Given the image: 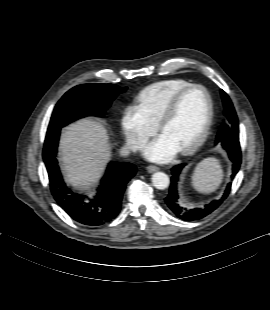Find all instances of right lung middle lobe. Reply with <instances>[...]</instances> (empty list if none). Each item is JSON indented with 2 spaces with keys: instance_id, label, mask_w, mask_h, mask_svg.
<instances>
[{
  "instance_id": "dd1d6c3e",
  "label": "right lung middle lobe",
  "mask_w": 270,
  "mask_h": 310,
  "mask_svg": "<svg viewBox=\"0 0 270 310\" xmlns=\"http://www.w3.org/2000/svg\"><path fill=\"white\" fill-rule=\"evenodd\" d=\"M125 90L114 84L78 85L56 104L49 127H63L84 116L103 117L111 102Z\"/></svg>"
}]
</instances>
